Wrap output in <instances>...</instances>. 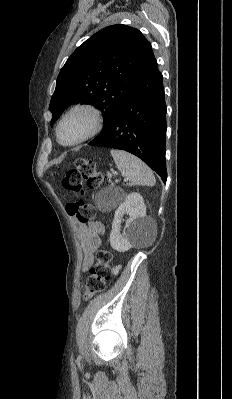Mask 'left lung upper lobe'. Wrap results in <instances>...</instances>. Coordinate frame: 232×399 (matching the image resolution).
Listing matches in <instances>:
<instances>
[{
  "label": "left lung upper lobe",
  "instance_id": "1",
  "mask_svg": "<svg viewBox=\"0 0 232 399\" xmlns=\"http://www.w3.org/2000/svg\"><path fill=\"white\" fill-rule=\"evenodd\" d=\"M151 49L143 34L126 25L108 26L92 35L62 67L49 110L51 126L71 104H90L102 111L104 127L112 126Z\"/></svg>",
  "mask_w": 232,
  "mask_h": 399
}]
</instances>
